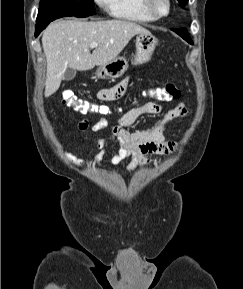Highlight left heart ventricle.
<instances>
[{
    "label": "left heart ventricle",
    "instance_id": "1",
    "mask_svg": "<svg viewBox=\"0 0 243 289\" xmlns=\"http://www.w3.org/2000/svg\"><path fill=\"white\" fill-rule=\"evenodd\" d=\"M155 9L158 13H165L167 5L164 0H154Z\"/></svg>",
    "mask_w": 243,
    "mask_h": 289
}]
</instances>
